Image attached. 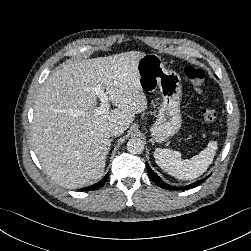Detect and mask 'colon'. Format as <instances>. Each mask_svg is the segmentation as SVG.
Returning <instances> with one entry per match:
<instances>
[{"mask_svg":"<svg viewBox=\"0 0 251 251\" xmlns=\"http://www.w3.org/2000/svg\"><path fill=\"white\" fill-rule=\"evenodd\" d=\"M184 71L186 77L191 82L197 94L202 95L204 92L205 82L204 70L194 66H187ZM201 116L206 123H213L216 121L218 113L214 108L205 106L201 109Z\"/></svg>","mask_w":251,"mask_h":251,"instance_id":"5ec220e1","label":"colon"}]
</instances>
